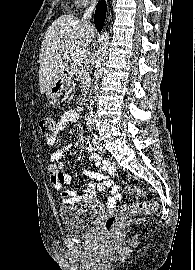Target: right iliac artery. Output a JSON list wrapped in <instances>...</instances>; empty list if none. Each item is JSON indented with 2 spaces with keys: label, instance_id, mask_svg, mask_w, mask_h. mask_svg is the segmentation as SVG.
Masks as SVG:
<instances>
[{
  "label": "right iliac artery",
  "instance_id": "1",
  "mask_svg": "<svg viewBox=\"0 0 195 270\" xmlns=\"http://www.w3.org/2000/svg\"><path fill=\"white\" fill-rule=\"evenodd\" d=\"M88 130H89V131H92V126H91V124H89Z\"/></svg>",
  "mask_w": 195,
  "mask_h": 270
}]
</instances>
